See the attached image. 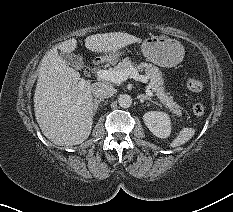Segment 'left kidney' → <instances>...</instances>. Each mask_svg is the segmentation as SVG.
<instances>
[{
  "mask_svg": "<svg viewBox=\"0 0 233 212\" xmlns=\"http://www.w3.org/2000/svg\"><path fill=\"white\" fill-rule=\"evenodd\" d=\"M143 120L148 129L159 138H167L171 133V120L167 113L159 111L147 112Z\"/></svg>",
  "mask_w": 233,
  "mask_h": 212,
  "instance_id": "obj_1",
  "label": "left kidney"
}]
</instances>
